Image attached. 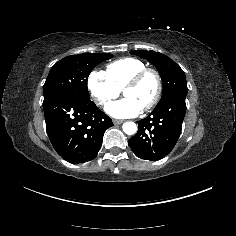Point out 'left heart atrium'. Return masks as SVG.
Segmentation results:
<instances>
[{"instance_id": "1", "label": "left heart atrium", "mask_w": 236, "mask_h": 236, "mask_svg": "<svg viewBox=\"0 0 236 236\" xmlns=\"http://www.w3.org/2000/svg\"><path fill=\"white\" fill-rule=\"evenodd\" d=\"M143 108L130 98H123L110 104L107 112L110 116L118 119L136 117L142 112Z\"/></svg>"}]
</instances>
